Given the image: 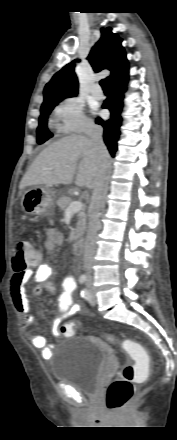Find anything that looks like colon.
I'll return each mask as SVG.
<instances>
[{"instance_id":"1","label":"colon","mask_w":177,"mask_h":440,"mask_svg":"<svg viewBox=\"0 0 177 440\" xmlns=\"http://www.w3.org/2000/svg\"><path fill=\"white\" fill-rule=\"evenodd\" d=\"M42 259L41 252L26 239H18L13 246V267L17 272L25 271L32 265H36ZM77 327V322L71 320L61 327L65 336H72ZM106 339L116 343V339L107 335ZM120 347L128 352L133 363L123 366L118 377L111 382L105 394V405L109 410L119 411L126 407L135 392V384L143 381L149 373V355L146 349L129 339H124Z\"/></svg>"}]
</instances>
